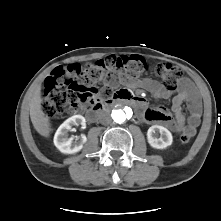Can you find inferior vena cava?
Returning <instances> with one entry per match:
<instances>
[{"instance_id":"602c4592","label":"inferior vena cava","mask_w":221,"mask_h":221,"mask_svg":"<svg viewBox=\"0 0 221 221\" xmlns=\"http://www.w3.org/2000/svg\"><path fill=\"white\" fill-rule=\"evenodd\" d=\"M99 121H100V123L103 124V125H108V124L111 123L112 119H111L109 113L103 112V113H101L100 116H99Z\"/></svg>"}]
</instances>
